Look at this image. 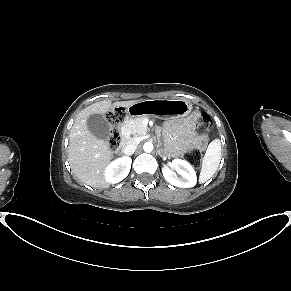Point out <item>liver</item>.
<instances>
[{"instance_id": "1", "label": "liver", "mask_w": 291, "mask_h": 291, "mask_svg": "<svg viewBox=\"0 0 291 291\" xmlns=\"http://www.w3.org/2000/svg\"><path fill=\"white\" fill-rule=\"evenodd\" d=\"M135 100L114 102L104 100L86 107L76 117L69 135L68 161L72 173L82 182L95 188H108L104 169L113 158L109 143L95 137L87 127L92 114H105L116 107H128Z\"/></svg>"}]
</instances>
